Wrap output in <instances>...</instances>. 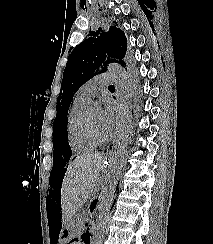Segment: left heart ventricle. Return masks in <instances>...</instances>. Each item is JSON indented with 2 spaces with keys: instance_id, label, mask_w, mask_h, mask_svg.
Masks as SVG:
<instances>
[{
  "instance_id": "left-heart-ventricle-1",
  "label": "left heart ventricle",
  "mask_w": 213,
  "mask_h": 244,
  "mask_svg": "<svg viewBox=\"0 0 213 244\" xmlns=\"http://www.w3.org/2000/svg\"><path fill=\"white\" fill-rule=\"evenodd\" d=\"M101 113L102 111L100 109H93L88 112V115L93 127L98 132V134H100L101 136H106L108 132L104 129L102 125Z\"/></svg>"
}]
</instances>
